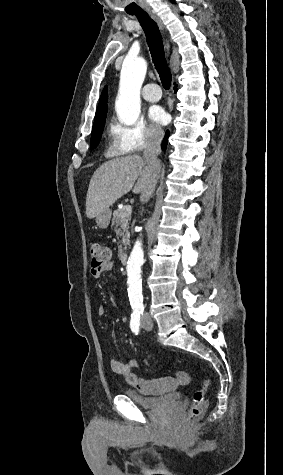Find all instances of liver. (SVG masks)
Instances as JSON below:
<instances>
[{
	"label": "liver",
	"mask_w": 283,
	"mask_h": 475,
	"mask_svg": "<svg viewBox=\"0 0 283 475\" xmlns=\"http://www.w3.org/2000/svg\"><path fill=\"white\" fill-rule=\"evenodd\" d=\"M146 162L143 158L125 156V158H115L102 164L94 172L86 198V216L95 218L102 210H107L116 200L128 194L134 186V194H145L150 182L149 176L145 174Z\"/></svg>",
	"instance_id": "obj_1"
}]
</instances>
